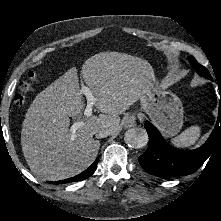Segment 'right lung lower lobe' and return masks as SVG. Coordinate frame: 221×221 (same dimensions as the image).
Segmentation results:
<instances>
[{
  "label": "right lung lower lobe",
  "instance_id": "1",
  "mask_svg": "<svg viewBox=\"0 0 221 221\" xmlns=\"http://www.w3.org/2000/svg\"><path fill=\"white\" fill-rule=\"evenodd\" d=\"M97 163H98V159H96L94 161V163L88 169L83 171L82 173H80V174H78V175H76L72 178H69V179L56 181V182H51V183H53V184H65V183L77 182V181L86 179V178L90 177L93 174V172L95 171V169L97 167Z\"/></svg>",
  "mask_w": 221,
  "mask_h": 221
}]
</instances>
